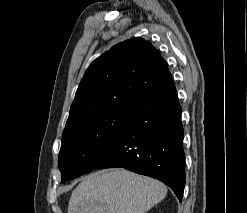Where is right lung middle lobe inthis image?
I'll return each instance as SVG.
<instances>
[{
    "label": "right lung middle lobe",
    "instance_id": "dd1d6c3e",
    "mask_svg": "<svg viewBox=\"0 0 247 213\" xmlns=\"http://www.w3.org/2000/svg\"><path fill=\"white\" fill-rule=\"evenodd\" d=\"M130 112V99L124 100L63 133L58 158L62 182L95 168L102 149L116 136Z\"/></svg>",
    "mask_w": 247,
    "mask_h": 213
}]
</instances>
